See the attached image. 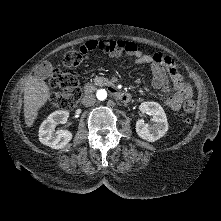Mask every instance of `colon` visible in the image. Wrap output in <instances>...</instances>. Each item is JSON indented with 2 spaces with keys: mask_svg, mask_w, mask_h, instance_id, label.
<instances>
[{
  "mask_svg": "<svg viewBox=\"0 0 221 221\" xmlns=\"http://www.w3.org/2000/svg\"><path fill=\"white\" fill-rule=\"evenodd\" d=\"M85 58L80 51H68L63 57V65L65 68H74L79 66ZM49 84L58 88V92H54L50 96V102L58 109L68 110L73 108L81 98V87L78 77L72 71H62L55 69L49 77ZM194 102L187 99L183 104V115L188 121V116L194 111Z\"/></svg>",
  "mask_w": 221,
  "mask_h": 221,
  "instance_id": "5ec220e1",
  "label": "colon"
}]
</instances>
